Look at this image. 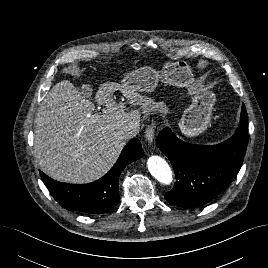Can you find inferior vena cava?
Returning a JSON list of instances; mask_svg holds the SVG:
<instances>
[{
    "label": "inferior vena cava",
    "mask_w": 268,
    "mask_h": 268,
    "mask_svg": "<svg viewBox=\"0 0 268 268\" xmlns=\"http://www.w3.org/2000/svg\"><path fill=\"white\" fill-rule=\"evenodd\" d=\"M138 133H139V125L129 128L125 131L117 132L115 133V136L120 139H129V138L136 136Z\"/></svg>",
    "instance_id": "obj_1"
}]
</instances>
